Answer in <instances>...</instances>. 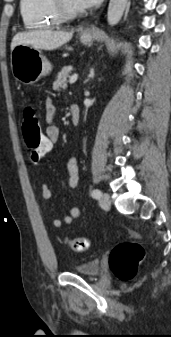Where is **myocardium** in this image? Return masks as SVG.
I'll use <instances>...</instances> for the list:
<instances>
[{
  "instance_id": "obj_1",
  "label": "myocardium",
  "mask_w": 171,
  "mask_h": 337,
  "mask_svg": "<svg viewBox=\"0 0 171 337\" xmlns=\"http://www.w3.org/2000/svg\"><path fill=\"white\" fill-rule=\"evenodd\" d=\"M56 12L62 21L72 20L80 15V11L66 4L64 0H53Z\"/></svg>"
}]
</instances>
